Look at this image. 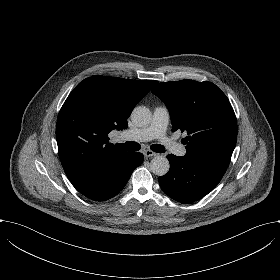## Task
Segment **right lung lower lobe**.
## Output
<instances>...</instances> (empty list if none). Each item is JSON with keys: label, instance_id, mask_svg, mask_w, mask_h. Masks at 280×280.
<instances>
[{"label": "right lung lower lobe", "instance_id": "obj_1", "mask_svg": "<svg viewBox=\"0 0 280 280\" xmlns=\"http://www.w3.org/2000/svg\"><path fill=\"white\" fill-rule=\"evenodd\" d=\"M143 160L144 155L142 153H129L124 159L116 162L100 174L90 192L81 194L95 201H105L116 196Z\"/></svg>", "mask_w": 280, "mask_h": 280}]
</instances>
